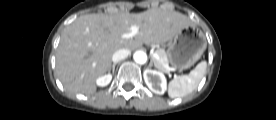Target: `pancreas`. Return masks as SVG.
<instances>
[{"label":"pancreas","mask_w":276,"mask_h":120,"mask_svg":"<svg viewBox=\"0 0 276 120\" xmlns=\"http://www.w3.org/2000/svg\"><path fill=\"white\" fill-rule=\"evenodd\" d=\"M156 54L159 56V59L154 58L156 68L161 71H165V65L168 63L167 54L165 50L160 48L156 51Z\"/></svg>","instance_id":"obj_1"}]
</instances>
